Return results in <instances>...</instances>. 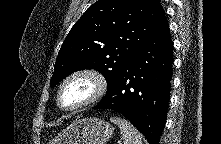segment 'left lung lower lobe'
<instances>
[{
    "instance_id": "0a47b994",
    "label": "left lung lower lobe",
    "mask_w": 221,
    "mask_h": 144,
    "mask_svg": "<svg viewBox=\"0 0 221 144\" xmlns=\"http://www.w3.org/2000/svg\"><path fill=\"white\" fill-rule=\"evenodd\" d=\"M173 43L166 17L154 35L121 69L93 109L124 115L147 139L159 144L166 123L172 78Z\"/></svg>"
}]
</instances>
